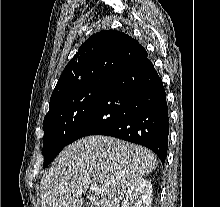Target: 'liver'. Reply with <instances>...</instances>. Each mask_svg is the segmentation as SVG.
<instances>
[{
	"label": "liver",
	"instance_id": "6515ba94",
	"mask_svg": "<svg viewBox=\"0 0 220 207\" xmlns=\"http://www.w3.org/2000/svg\"><path fill=\"white\" fill-rule=\"evenodd\" d=\"M155 154L108 136H88L62 150L40 182L42 207H82V194L91 207H119L135 180L153 172Z\"/></svg>",
	"mask_w": 220,
	"mask_h": 207
}]
</instances>
